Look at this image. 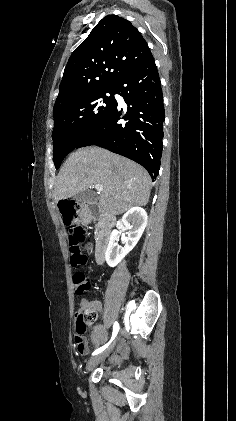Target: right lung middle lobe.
<instances>
[{
    "mask_svg": "<svg viewBox=\"0 0 236 421\" xmlns=\"http://www.w3.org/2000/svg\"><path fill=\"white\" fill-rule=\"evenodd\" d=\"M110 93V96H106ZM115 88L69 100L54 110L53 160L56 169L73 149L77 148L106 119L117 104Z\"/></svg>",
    "mask_w": 236,
    "mask_h": 421,
    "instance_id": "obj_1",
    "label": "right lung middle lobe"
}]
</instances>
